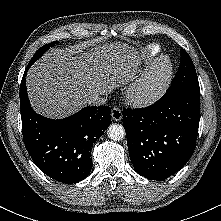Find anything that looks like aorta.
I'll list each match as a JSON object with an SVG mask.
<instances>
[{
  "label": "aorta",
  "mask_w": 221,
  "mask_h": 221,
  "mask_svg": "<svg viewBox=\"0 0 221 221\" xmlns=\"http://www.w3.org/2000/svg\"><path fill=\"white\" fill-rule=\"evenodd\" d=\"M108 137L114 141H120L125 136V130L120 124H111L107 129Z\"/></svg>",
  "instance_id": "762f6f07"
}]
</instances>
